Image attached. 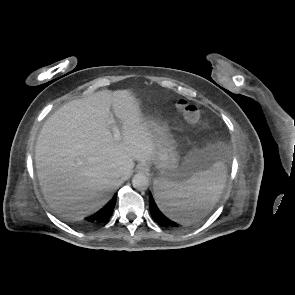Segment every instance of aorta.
Here are the masks:
<instances>
[{"mask_svg": "<svg viewBox=\"0 0 295 295\" xmlns=\"http://www.w3.org/2000/svg\"><path fill=\"white\" fill-rule=\"evenodd\" d=\"M132 185L137 190H146L149 186V180L144 174L138 173L133 177Z\"/></svg>", "mask_w": 295, "mask_h": 295, "instance_id": "obj_1", "label": "aorta"}]
</instances>
